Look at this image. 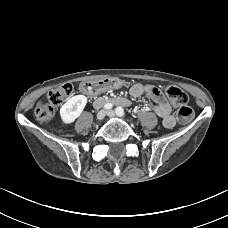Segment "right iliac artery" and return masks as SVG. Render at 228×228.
I'll list each match as a JSON object with an SVG mask.
<instances>
[{"label": "right iliac artery", "instance_id": "82829eb1", "mask_svg": "<svg viewBox=\"0 0 228 228\" xmlns=\"http://www.w3.org/2000/svg\"><path fill=\"white\" fill-rule=\"evenodd\" d=\"M112 107H113L112 103H106V104L104 105V108H105L106 110L111 109Z\"/></svg>", "mask_w": 228, "mask_h": 228}]
</instances>
